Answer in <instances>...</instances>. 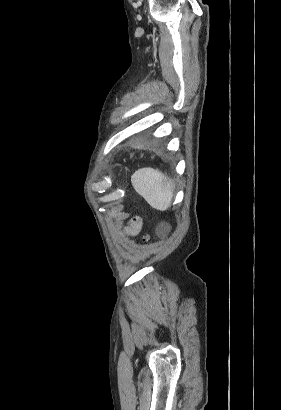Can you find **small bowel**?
I'll list each match as a JSON object with an SVG mask.
<instances>
[{"instance_id": "obj_1", "label": "small bowel", "mask_w": 281, "mask_h": 410, "mask_svg": "<svg viewBox=\"0 0 281 410\" xmlns=\"http://www.w3.org/2000/svg\"><path fill=\"white\" fill-rule=\"evenodd\" d=\"M140 230V222H133L131 226L128 228V234L131 236H135L138 234Z\"/></svg>"}]
</instances>
